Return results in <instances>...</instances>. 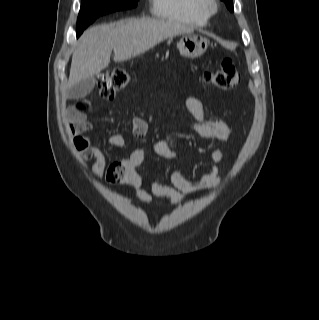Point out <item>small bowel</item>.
Returning a JSON list of instances; mask_svg holds the SVG:
<instances>
[{
    "label": "small bowel",
    "instance_id": "small-bowel-1",
    "mask_svg": "<svg viewBox=\"0 0 319 320\" xmlns=\"http://www.w3.org/2000/svg\"><path fill=\"white\" fill-rule=\"evenodd\" d=\"M186 109L198 121V124L191 128V131L199 137L206 139H216L222 142L230 140L232 129L225 122L209 119L203 103L196 97H186L183 100ZM176 106V103L173 104ZM87 103H80L75 110L69 113L67 129L71 143L79 153L82 160H94L92 175L99 179L106 174V178L111 183L119 182L129 188L133 196L144 204H150L153 197L167 198L171 205L179 204L187 195L198 191L209 190L222 183V176L218 164L224 161V153L219 149H214L210 153V168L207 173L198 178H187L178 170H174L170 176L172 185L161 184L152 177H148L146 182L148 190L142 188L143 179L136 172L145 159L143 151H134L127 158L119 162L121 168L115 170L112 176L118 177L117 181L109 178L110 167L105 151L92 144L87 132L92 128L87 119ZM148 131L147 123L140 117L132 119V134L135 137H142ZM107 144L109 148H125L126 138L120 134L111 135ZM156 154L166 160H174L176 151L169 139H160L154 145ZM115 163V162H114ZM113 163V164H114Z\"/></svg>",
    "mask_w": 319,
    "mask_h": 320
}]
</instances>
